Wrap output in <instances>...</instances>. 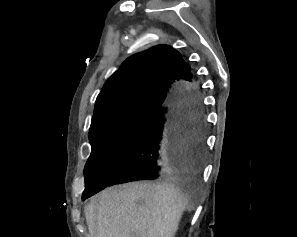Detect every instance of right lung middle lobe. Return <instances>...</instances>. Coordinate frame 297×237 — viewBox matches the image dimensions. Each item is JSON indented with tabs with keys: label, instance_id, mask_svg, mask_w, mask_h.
Masks as SVG:
<instances>
[{
	"label": "right lung middle lobe",
	"instance_id": "right-lung-middle-lobe-1",
	"mask_svg": "<svg viewBox=\"0 0 297 237\" xmlns=\"http://www.w3.org/2000/svg\"><path fill=\"white\" fill-rule=\"evenodd\" d=\"M150 115L138 112L117 116L90 128L92 150L84 169L83 200L106 187L116 165L132 147Z\"/></svg>",
	"mask_w": 297,
	"mask_h": 237
}]
</instances>
